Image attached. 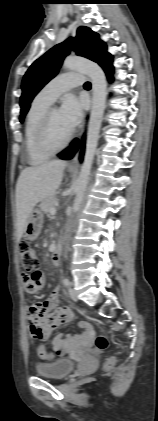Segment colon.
<instances>
[{"instance_id":"colon-1","label":"colon","mask_w":158,"mask_h":421,"mask_svg":"<svg viewBox=\"0 0 158 421\" xmlns=\"http://www.w3.org/2000/svg\"><path fill=\"white\" fill-rule=\"evenodd\" d=\"M21 268L24 272V285L25 288L29 291L37 290L39 283L36 278V273L39 267V259L36 251L31 247V245L25 241H20L18 245ZM62 316V315H61ZM108 346V340L105 336H98L95 339V348L97 350H104ZM38 356L44 361H53L55 359V354L45 347H40L38 349ZM114 363V358H109L106 365L111 366Z\"/></svg>"}]
</instances>
